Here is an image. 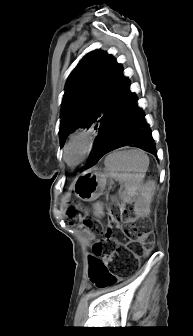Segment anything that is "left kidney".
I'll return each instance as SVG.
<instances>
[{"label": "left kidney", "instance_id": "left-kidney-1", "mask_svg": "<svg viewBox=\"0 0 193 336\" xmlns=\"http://www.w3.org/2000/svg\"><path fill=\"white\" fill-rule=\"evenodd\" d=\"M156 189L154 180H148L141 186L140 193L134 203V214L136 217H147L150 214V206Z\"/></svg>", "mask_w": 193, "mask_h": 336}]
</instances>
